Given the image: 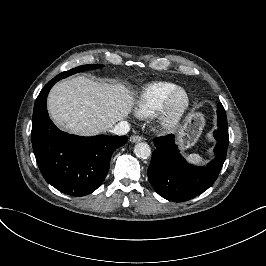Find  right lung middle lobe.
Listing matches in <instances>:
<instances>
[{
  "label": "right lung middle lobe",
  "mask_w": 266,
  "mask_h": 266,
  "mask_svg": "<svg viewBox=\"0 0 266 266\" xmlns=\"http://www.w3.org/2000/svg\"><path fill=\"white\" fill-rule=\"evenodd\" d=\"M102 67H103V65H101V64L82 65V66L73 68V69H71L69 71H65L63 73H60L55 78L63 79L65 77H68V76H70L72 74H75V73H78V72H83V71H86V70H93V69L102 68Z\"/></svg>",
  "instance_id": "right-lung-middle-lobe-1"
}]
</instances>
